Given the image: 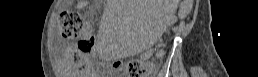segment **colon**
<instances>
[{
    "mask_svg": "<svg viewBox=\"0 0 258 77\" xmlns=\"http://www.w3.org/2000/svg\"><path fill=\"white\" fill-rule=\"evenodd\" d=\"M60 30L63 37L77 39V48L80 53L84 55L94 54L95 38L79 13L67 12L62 14ZM111 66L116 70L120 68V65L116 62H113ZM155 68L154 62L133 58L127 63V74L129 77H147Z\"/></svg>",
    "mask_w": 258,
    "mask_h": 77,
    "instance_id": "colon-1",
    "label": "colon"
}]
</instances>
